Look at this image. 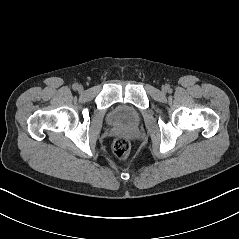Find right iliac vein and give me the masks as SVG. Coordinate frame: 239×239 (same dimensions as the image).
<instances>
[{
  "label": "right iliac vein",
  "mask_w": 239,
  "mask_h": 239,
  "mask_svg": "<svg viewBox=\"0 0 239 239\" xmlns=\"http://www.w3.org/2000/svg\"><path fill=\"white\" fill-rule=\"evenodd\" d=\"M79 92L83 91V87L81 85H79L78 89Z\"/></svg>",
  "instance_id": "1"
}]
</instances>
